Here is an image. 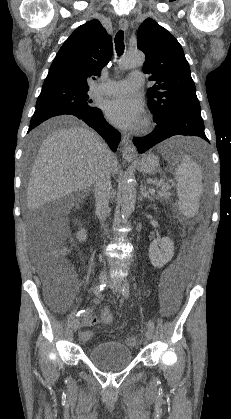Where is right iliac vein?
Wrapping results in <instances>:
<instances>
[{
	"label": "right iliac vein",
	"instance_id": "right-iliac-vein-1",
	"mask_svg": "<svg viewBox=\"0 0 231 419\" xmlns=\"http://www.w3.org/2000/svg\"><path fill=\"white\" fill-rule=\"evenodd\" d=\"M108 274L106 271H103L99 276V283L103 284L107 281ZM80 328V318H76L72 322V330L76 332Z\"/></svg>",
	"mask_w": 231,
	"mask_h": 419
}]
</instances>
